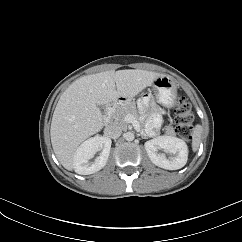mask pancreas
<instances>
[{
	"instance_id": "1",
	"label": "pancreas",
	"mask_w": 242,
	"mask_h": 242,
	"mask_svg": "<svg viewBox=\"0 0 242 242\" xmlns=\"http://www.w3.org/2000/svg\"><path fill=\"white\" fill-rule=\"evenodd\" d=\"M131 114L135 117L136 120H138V112L136 110L135 103H127L123 104L121 106H118L112 113V118L114 119V122L116 124H119L120 126H126V122L124 121V118L126 115ZM167 135H174V129L171 126H166L165 128Z\"/></svg>"
}]
</instances>
